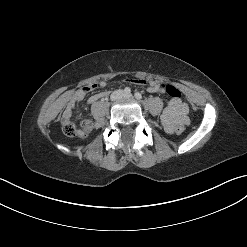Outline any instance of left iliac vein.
<instances>
[{
    "label": "left iliac vein",
    "mask_w": 247,
    "mask_h": 247,
    "mask_svg": "<svg viewBox=\"0 0 247 247\" xmlns=\"http://www.w3.org/2000/svg\"><path fill=\"white\" fill-rule=\"evenodd\" d=\"M123 96H124L125 98H129V99L132 98V94H123Z\"/></svg>",
    "instance_id": "obj_1"
}]
</instances>
